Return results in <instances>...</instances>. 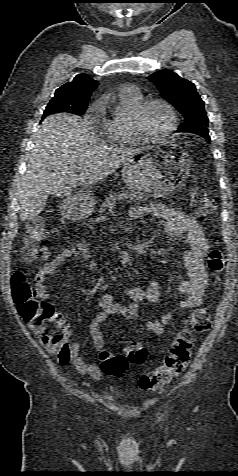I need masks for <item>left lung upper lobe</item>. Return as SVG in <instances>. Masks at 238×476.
<instances>
[{
    "instance_id": "1",
    "label": "left lung upper lobe",
    "mask_w": 238,
    "mask_h": 476,
    "mask_svg": "<svg viewBox=\"0 0 238 476\" xmlns=\"http://www.w3.org/2000/svg\"><path fill=\"white\" fill-rule=\"evenodd\" d=\"M150 77L162 97L183 115L185 122L179 126L178 132L208 133L204 101L192 82L168 69L154 72Z\"/></svg>"
}]
</instances>
